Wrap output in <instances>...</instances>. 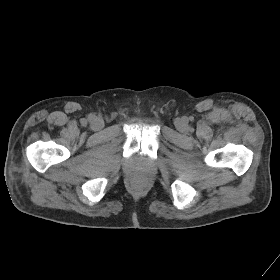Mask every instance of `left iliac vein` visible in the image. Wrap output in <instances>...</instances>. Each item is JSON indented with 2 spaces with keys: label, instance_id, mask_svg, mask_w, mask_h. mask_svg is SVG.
Listing matches in <instances>:
<instances>
[{
  "label": "left iliac vein",
  "instance_id": "1",
  "mask_svg": "<svg viewBox=\"0 0 280 280\" xmlns=\"http://www.w3.org/2000/svg\"><path fill=\"white\" fill-rule=\"evenodd\" d=\"M175 126L180 132H185L188 129V125L184 119H177Z\"/></svg>",
  "mask_w": 280,
  "mask_h": 280
}]
</instances>
